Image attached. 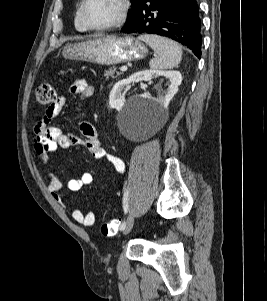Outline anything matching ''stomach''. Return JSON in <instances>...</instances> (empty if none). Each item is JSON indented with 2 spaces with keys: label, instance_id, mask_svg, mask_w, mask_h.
I'll return each mask as SVG.
<instances>
[{
  "label": "stomach",
  "instance_id": "0dacf381",
  "mask_svg": "<svg viewBox=\"0 0 267 301\" xmlns=\"http://www.w3.org/2000/svg\"><path fill=\"white\" fill-rule=\"evenodd\" d=\"M147 47L132 36L100 37L92 40L68 43L62 49L66 59L87 61L100 65H114L146 57Z\"/></svg>",
  "mask_w": 267,
  "mask_h": 301
}]
</instances>
